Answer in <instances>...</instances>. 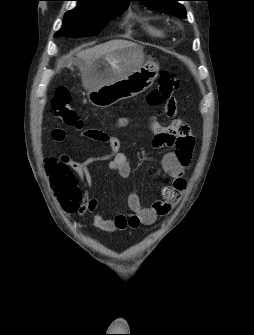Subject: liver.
<instances>
[{
	"instance_id": "1",
	"label": "liver",
	"mask_w": 254,
	"mask_h": 335,
	"mask_svg": "<svg viewBox=\"0 0 254 335\" xmlns=\"http://www.w3.org/2000/svg\"><path fill=\"white\" fill-rule=\"evenodd\" d=\"M129 46H135V44L124 40H112L79 52L77 56L81 60L80 70L84 86L87 88L85 75L94 62L103 56H110L118 49Z\"/></svg>"
}]
</instances>
